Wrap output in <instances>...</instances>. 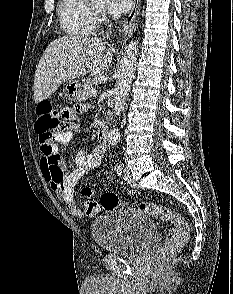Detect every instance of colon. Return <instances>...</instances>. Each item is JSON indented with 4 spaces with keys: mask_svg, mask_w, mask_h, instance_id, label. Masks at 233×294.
<instances>
[{
    "mask_svg": "<svg viewBox=\"0 0 233 294\" xmlns=\"http://www.w3.org/2000/svg\"><path fill=\"white\" fill-rule=\"evenodd\" d=\"M61 111L58 112L50 102L43 101L37 107V119L35 131L39 137L40 149H51L55 135L67 129H60L62 121ZM49 156H56L46 154ZM120 198L114 193H104L100 198V205L110 210L119 206ZM138 209L146 215L155 217L165 222L173 224V228L167 235L164 246L158 253L160 263L166 261L173 251L181 247L188 239L189 229L187 221L173 209L152 202H140Z\"/></svg>",
    "mask_w": 233,
    "mask_h": 294,
    "instance_id": "colon-1",
    "label": "colon"
}]
</instances>
